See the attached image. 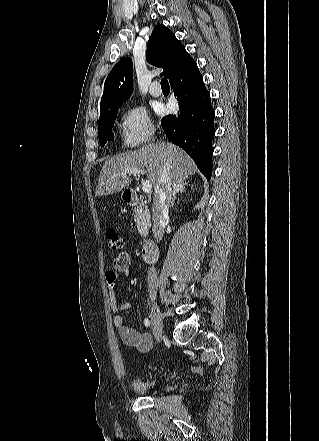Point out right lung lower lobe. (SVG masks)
<instances>
[{"instance_id":"1","label":"right lung lower lobe","mask_w":319,"mask_h":441,"mask_svg":"<svg viewBox=\"0 0 319 441\" xmlns=\"http://www.w3.org/2000/svg\"><path fill=\"white\" fill-rule=\"evenodd\" d=\"M180 111L165 117L162 128L171 142L184 149L209 180L212 174L214 110L210 93L194 62L170 81Z\"/></svg>"}]
</instances>
